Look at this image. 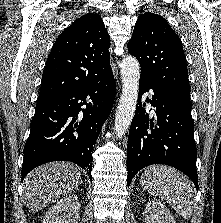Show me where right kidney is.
<instances>
[{
  "instance_id": "right-kidney-1",
  "label": "right kidney",
  "mask_w": 221,
  "mask_h": 223,
  "mask_svg": "<svg viewBox=\"0 0 221 223\" xmlns=\"http://www.w3.org/2000/svg\"><path fill=\"white\" fill-rule=\"evenodd\" d=\"M80 203L76 195L58 200L46 212L43 223H78Z\"/></svg>"
}]
</instances>
